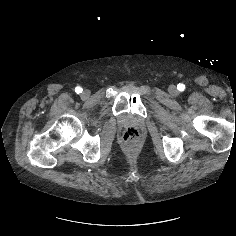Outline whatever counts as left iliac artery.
I'll list each match as a JSON object with an SVG mask.
<instances>
[{
  "label": "left iliac artery",
  "instance_id": "1",
  "mask_svg": "<svg viewBox=\"0 0 236 236\" xmlns=\"http://www.w3.org/2000/svg\"><path fill=\"white\" fill-rule=\"evenodd\" d=\"M177 89H178L179 91H184V90H185V85L182 84V83H180V84L177 85Z\"/></svg>",
  "mask_w": 236,
  "mask_h": 236
}]
</instances>
